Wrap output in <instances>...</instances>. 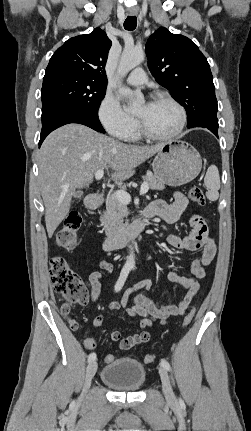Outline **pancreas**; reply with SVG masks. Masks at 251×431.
<instances>
[{
  "label": "pancreas",
  "mask_w": 251,
  "mask_h": 431,
  "mask_svg": "<svg viewBox=\"0 0 251 431\" xmlns=\"http://www.w3.org/2000/svg\"><path fill=\"white\" fill-rule=\"evenodd\" d=\"M144 181L148 183L149 188L152 190H163L165 188L164 183L158 180L150 171L147 172ZM122 190H126V187H122ZM128 214L125 204L119 202L113 194L107 196L106 211L100 217L101 225L107 237H114L127 227L128 221H125L124 218Z\"/></svg>",
  "instance_id": "1"
}]
</instances>
